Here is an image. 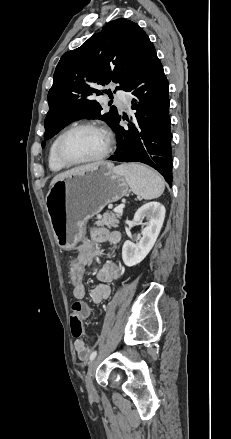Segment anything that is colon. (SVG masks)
<instances>
[{"instance_id":"1","label":"colon","mask_w":231,"mask_h":439,"mask_svg":"<svg viewBox=\"0 0 231 439\" xmlns=\"http://www.w3.org/2000/svg\"><path fill=\"white\" fill-rule=\"evenodd\" d=\"M69 274L71 276L70 283L73 291L75 283H87L86 279H84L86 267L81 263L80 260H72L71 266L69 267ZM70 328L71 333L75 338H80L84 334L83 323L77 312H73L70 317Z\"/></svg>"}]
</instances>
